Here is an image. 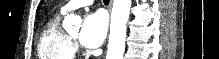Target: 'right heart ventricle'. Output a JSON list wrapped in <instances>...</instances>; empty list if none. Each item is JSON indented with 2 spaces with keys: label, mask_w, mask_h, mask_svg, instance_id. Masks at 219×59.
Masks as SVG:
<instances>
[{
  "label": "right heart ventricle",
  "mask_w": 219,
  "mask_h": 59,
  "mask_svg": "<svg viewBox=\"0 0 219 59\" xmlns=\"http://www.w3.org/2000/svg\"><path fill=\"white\" fill-rule=\"evenodd\" d=\"M60 15H54L43 28L37 45L39 59H73L75 49L68 34L59 25Z\"/></svg>",
  "instance_id": "e07e8e85"
}]
</instances>
